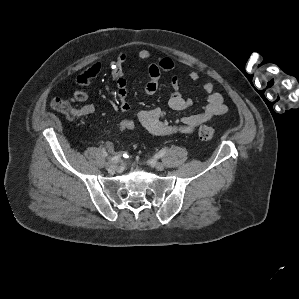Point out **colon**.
<instances>
[{
    "label": "colon",
    "mask_w": 299,
    "mask_h": 299,
    "mask_svg": "<svg viewBox=\"0 0 299 299\" xmlns=\"http://www.w3.org/2000/svg\"><path fill=\"white\" fill-rule=\"evenodd\" d=\"M52 108L65 116L69 120H74L81 114V110L76 108L71 101L61 98L53 99L51 103ZM136 129V122L132 119L123 120L119 123V130L121 132H129ZM201 140H212L216 135V130L213 127L202 125L197 132Z\"/></svg>",
    "instance_id": "5ec220e1"
}]
</instances>
